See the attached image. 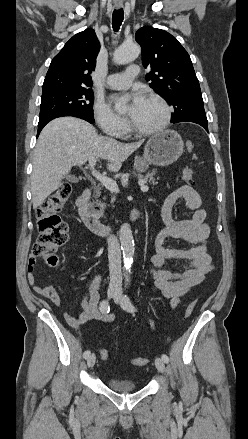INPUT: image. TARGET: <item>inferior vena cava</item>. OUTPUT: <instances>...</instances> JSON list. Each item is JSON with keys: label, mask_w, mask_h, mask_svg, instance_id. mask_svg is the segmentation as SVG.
Masks as SVG:
<instances>
[{"label": "inferior vena cava", "mask_w": 248, "mask_h": 439, "mask_svg": "<svg viewBox=\"0 0 248 439\" xmlns=\"http://www.w3.org/2000/svg\"><path fill=\"white\" fill-rule=\"evenodd\" d=\"M107 243H108L110 284L117 285L120 287L122 283L120 245L117 237L114 235H111L107 238Z\"/></svg>", "instance_id": "obj_1"}]
</instances>
